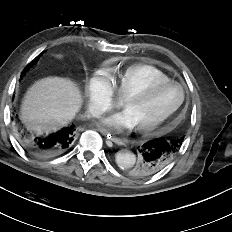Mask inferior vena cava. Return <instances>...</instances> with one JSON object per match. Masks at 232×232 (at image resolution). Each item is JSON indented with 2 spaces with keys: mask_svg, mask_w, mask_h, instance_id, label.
<instances>
[{
  "mask_svg": "<svg viewBox=\"0 0 232 232\" xmlns=\"http://www.w3.org/2000/svg\"><path fill=\"white\" fill-rule=\"evenodd\" d=\"M90 113L94 116V117H99V115L101 114V110L99 109V107L97 106H92L90 107Z\"/></svg>",
  "mask_w": 232,
  "mask_h": 232,
  "instance_id": "602c4592",
  "label": "inferior vena cava"
}]
</instances>
